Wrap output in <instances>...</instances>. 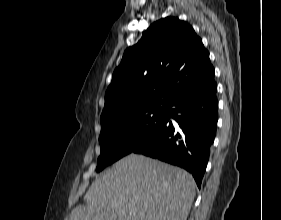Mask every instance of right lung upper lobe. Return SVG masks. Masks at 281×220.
Listing matches in <instances>:
<instances>
[{"label":"right lung upper lobe","instance_id":"1","mask_svg":"<svg viewBox=\"0 0 281 220\" xmlns=\"http://www.w3.org/2000/svg\"><path fill=\"white\" fill-rule=\"evenodd\" d=\"M209 52L185 21L160 19L125 50L105 94L101 128L144 110L167 109L178 97L214 81Z\"/></svg>","mask_w":281,"mask_h":220}]
</instances>
